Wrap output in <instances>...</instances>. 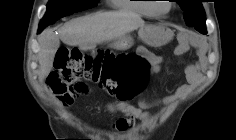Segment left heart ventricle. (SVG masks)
I'll list each match as a JSON object with an SVG mask.
<instances>
[{"label":"left heart ventricle","mask_w":236,"mask_h":140,"mask_svg":"<svg viewBox=\"0 0 236 140\" xmlns=\"http://www.w3.org/2000/svg\"><path fill=\"white\" fill-rule=\"evenodd\" d=\"M158 8L160 11L165 12L169 8V3H162L158 5Z\"/></svg>","instance_id":"obj_1"}]
</instances>
